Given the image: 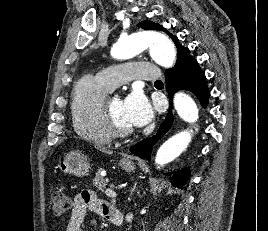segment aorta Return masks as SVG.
Returning a JSON list of instances; mask_svg holds the SVG:
<instances>
[{"mask_svg": "<svg viewBox=\"0 0 268 231\" xmlns=\"http://www.w3.org/2000/svg\"><path fill=\"white\" fill-rule=\"evenodd\" d=\"M149 48L151 58L160 66L170 68L176 60V49L173 42L165 35L156 32H140L120 38L112 47L111 55L118 60H126ZM174 107L186 122L198 120V108L194 100L185 93L174 96ZM192 130H183L168 140L158 149L155 164L163 166L177 158L186 150L192 137Z\"/></svg>", "mask_w": 268, "mask_h": 231, "instance_id": "aorta-1", "label": "aorta"}]
</instances>
